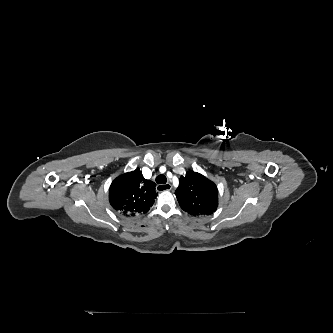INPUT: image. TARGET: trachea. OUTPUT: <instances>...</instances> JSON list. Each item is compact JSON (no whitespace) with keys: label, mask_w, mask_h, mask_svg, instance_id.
Wrapping results in <instances>:
<instances>
[{"label":"trachea","mask_w":333,"mask_h":333,"mask_svg":"<svg viewBox=\"0 0 333 333\" xmlns=\"http://www.w3.org/2000/svg\"><path fill=\"white\" fill-rule=\"evenodd\" d=\"M156 182H157L158 184H165V183L167 182V178H166L165 175L160 174V175H158V176L156 177Z\"/></svg>","instance_id":"trachea-1"}]
</instances>
